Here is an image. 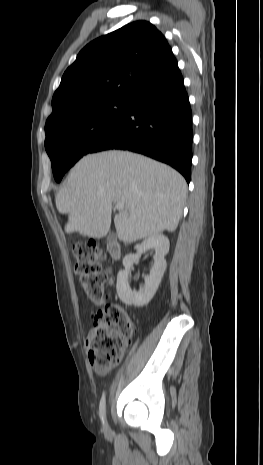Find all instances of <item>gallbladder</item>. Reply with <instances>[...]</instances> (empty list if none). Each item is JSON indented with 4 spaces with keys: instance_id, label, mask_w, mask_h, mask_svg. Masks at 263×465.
I'll return each instance as SVG.
<instances>
[{
    "instance_id": "1",
    "label": "gallbladder",
    "mask_w": 263,
    "mask_h": 465,
    "mask_svg": "<svg viewBox=\"0 0 263 465\" xmlns=\"http://www.w3.org/2000/svg\"><path fill=\"white\" fill-rule=\"evenodd\" d=\"M114 238H115L114 234H109L108 237H107V240L112 241Z\"/></svg>"
}]
</instances>
